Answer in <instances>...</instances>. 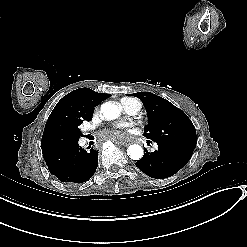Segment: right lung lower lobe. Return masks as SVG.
I'll return each instance as SVG.
<instances>
[{"instance_id": "obj_1", "label": "right lung lower lobe", "mask_w": 247, "mask_h": 247, "mask_svg": "<svg viewBox=\"0 0 247 247\" xmlns=\"http://www.w3.org/2000/svg\"><path fill=\"white\" fill-rule=\"evenodd\" d=\"M50 173L61 182L83 183L88 181L98 165V151L89 152L78 142L52 151H42Z\"/></svg>"}]
</instances>
